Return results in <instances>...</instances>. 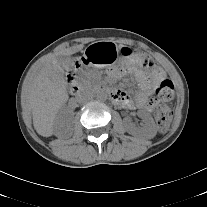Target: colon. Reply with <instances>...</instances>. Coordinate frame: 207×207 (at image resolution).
<instances>
[{"label":"colon","mask_w":207,"mask_h":207,"mask_svg":"<svg viewBox=\"0 0 207 207\" xmlns=\"http://www.w3.org/2000/svg\"><path fill=\"white\" fill-rule=\"evenodd\" d=\"M141 67L146 72L154 73L158 70V63L151 57L141 60ZM174 85L170 80H163L156 90L155 100L158 106L155 110V120L161 133L166 132L172 121V111L165 104L174 98Z\"/></svg>","instance_id":"obj_1"}]
</instances>
